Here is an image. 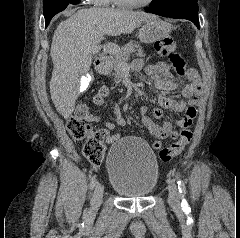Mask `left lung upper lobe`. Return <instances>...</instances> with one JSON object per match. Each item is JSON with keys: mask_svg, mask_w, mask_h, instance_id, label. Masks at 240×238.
I'll use <instances>...</instances> for the list:
<instances>
[{"mask_svg": "<svg viewBox=\"0 0 240 238\" xmlns=\"http://www.w3.org/2000/svg\"><path fill=\"white\" fill-rule=\"evenodd\" d=\"M175 1H191V2H197V0H153L149 7H158L163 4L169 3V2H175Z\"/></svg>", "mask_w": 240, "mask_h": 238, "instance_id": "1", "label": "left lung upper lobe"}]
</instances>
